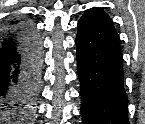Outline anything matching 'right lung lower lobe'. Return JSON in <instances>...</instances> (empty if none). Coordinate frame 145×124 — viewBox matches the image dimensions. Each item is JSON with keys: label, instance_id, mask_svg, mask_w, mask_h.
Masks as SVG:
<instances>
[{"label": "right lung lower lobe", "instance_id": "1", "mask_svg": "<svg viewBox=\"0 0 145 124\" xmlns=\"http://www.w3.org/2000/svg\"><path fill=\"white\" fill-rule=\"evenodd\" d=\"M40 73V42L29 26L0 32V117L20 121L35 109Z\"/></svg>", "mask_w": 145, "mask_h": 124}]
</instances>
